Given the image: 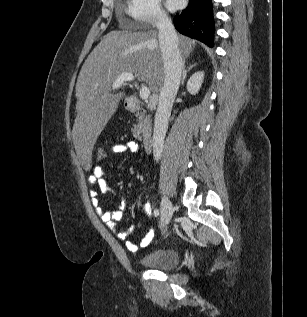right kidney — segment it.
<instances>
[{"mask_svg":"<svg viewBox=\"0 0 307 317\" xmlns=\"http://www.w3.org/2000/svg\"><path fill=\"white\" fill-rule=\"evenodd\" d=\"M204 79V72L203 71H198L195 72L188 80L187 82V91L195 95L198 93Z\"/></svg>","mask_w":307,"mask_h":317,"instance_id":"ca27d5eb","label":"right kidney"}]
</instances>
